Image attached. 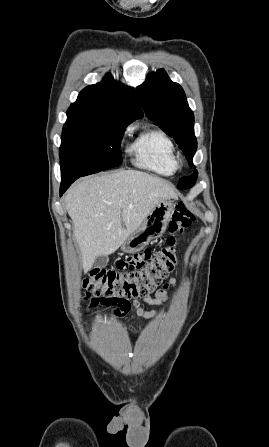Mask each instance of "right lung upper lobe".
I'll list each match as a JSON object with an SVG mask.
<instances>
[{"label": "right lung upper lobe", "instance_id": "right-lung-upper-lobe-1", "mask_svg": "<svg viewBox=\"0 0 269 447\" xmlns=\"http://www.w3.org/2000/svg\"><path fill=\"white\" fill-rule=\"evenodd\" d=\"M68 118L131 123L143 116L135 89L114 81L110 74L83 89L67 111Z\"/></svg>", "mask_w": 269, "mask_h": 447}]
</instances>
